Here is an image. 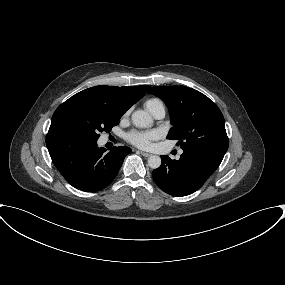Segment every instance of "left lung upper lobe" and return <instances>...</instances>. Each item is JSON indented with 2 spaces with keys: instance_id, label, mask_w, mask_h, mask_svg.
Segmentation results:
<instances>
[{
  "instance_id": "left-lung-upper-lobe-1",
  "label": "left lung upper lobe",
  "mask_w": 285,
  "mask_h": 285,
  "mask_svg": "<svg viewBox=\"0 0 285 285\" xmlns=\"http://www.w3.org/2000/svg\"><path fill=\"white\" fill-rule=\"evenodd\" d=\"M162 99L170 113L168 139L178 140L183 150H212L225 154L229 140L224 117L207 96L185 86H156L148 91Z\"/></svg>"
}]
</instances>
